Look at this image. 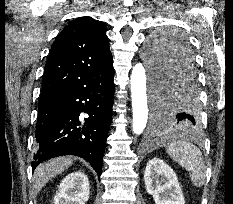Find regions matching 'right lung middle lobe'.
Returning <instances> with one entry per match:
<instances>
[{
  "instance_id": "1",
  "label": "right lung middle lobe",
  "mask_w": 233,
  "mask_h": 204,
  "mask_svg": "<svg viewBox=\"0 0 233 204\" xmlns=\"http://www.w3.org/2000/svg\"><path fill=\"white\" fill-rule=\"evenodd\" d=\"M56 119L57 114L55 112L46 111L39 107L35 136H38L47 130Z\"/></svg>"
}]
</instances>
